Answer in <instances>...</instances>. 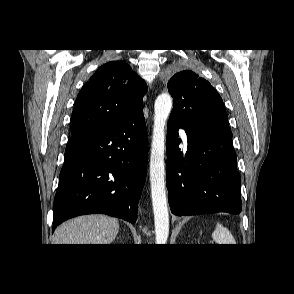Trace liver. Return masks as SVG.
<instances>
[{"instance_id": "6515ba94", "label": "liver", "mask_w": 294, "mask_h": 294, "mask_svg": "<svg viewBox=\"0 0 294 294\" xmlns=\"http://www.w3.org/2000/svg\"><path fill=\"white\" fill-rule=\"evenodd\" d=\"M119 231L117 219L101 215L80 216L60 225L55 244H111Z\"/></svg>"}]
</instances>
